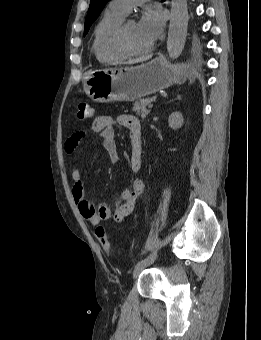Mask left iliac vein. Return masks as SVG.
Wrapping results in <instances>:
<instances>
[{"label": "left iliac vein", "instance_id": "obj_1", "mask_svg": "<svg viewBox=\"0 0 261 340\" xmlns=\"http://www.w3.org/2000/svg\"><path fill=\"white\" fill-rule=\"evenodd\" d=\"M148 264H144V265H138L135 267V269L133 270V278H136L140 272H142V270L147 266Z\"/></svg>", "mask_w": 261, "mask_h": 340}]
</instances>
